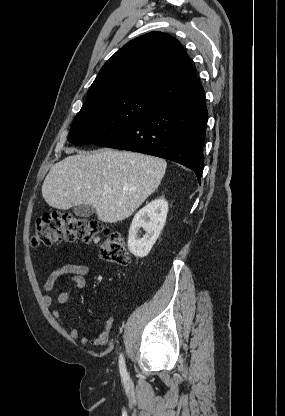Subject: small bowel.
I'll return each instance as SVG.
<instances>
[{
    "label": "small bowel",
    "mask_w": 285,
    "mask_h": 416,
    "mask_svg": "<svg viewBox=\"0 0 285 416\" xmlns=\"http://www.w3.org/2000/svg\"><path fill=\"white\" fill-rule=\"evenodd\" d=\"M90 269L88 266L77 263H66L59 268L52 271L44 280L42 289L44 291L43 302L44 305L51 311L53 317L60 323H65L60 312L53 307V299L50 293L54 290L55 286L61 281L62 278H66L72 283V286L56 297L58 304L67 303L72 295L86 286V276L89 274ZM114 324V317L107 315L104 322L103 331L94 337H88L81 335L77 328H71L69 330V336L72 339H79L82 344H90L93 346L104 345L108 342L109 332Z\"/></svg>",
    "instance_id": "obj_1"
}]
</instances>
